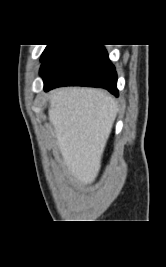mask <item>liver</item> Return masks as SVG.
<instances>
[{"label": "liver", "mask_w": 166, "mask_h": 267, "mask_svg": "<svg viewBox=\"0 0 166 267\" xmlns=\"http://www.w3.org/2000/svg\"><path fill=\"white\" fill-rule=\"evenodd\" d=\"M49 102V121L64 164L78 184H91L101 168L116 103L101 90L77 87L52 91Z\"/></svg>", "instance_id": "liver-1"}]
</instances>
